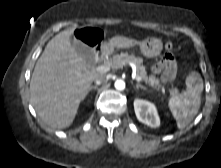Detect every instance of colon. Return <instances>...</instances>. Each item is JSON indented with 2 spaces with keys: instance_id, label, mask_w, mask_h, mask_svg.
<instances>
[{
  "instance_id": "5ec220e1",
  "label": "colon",
  "mask_w": 221,
  "mask_h": 168,
  "mask_svg": "<svg viewBox=\"0 0 221 168\" xmlns=\"http://www.w3.org/2000/svg\"><path fill=\"white\" fill-rule=\"evenodd\" d=\"M79 38L85 43L93 44L100 38V31L97 29H85L79 33ZM165 49L170 53L173 49V44L171 42H166ZM179 92L180 90L178 87H173L170 93V98L176 99Z\"/></svg>"
}]
</instances>
